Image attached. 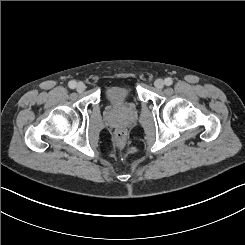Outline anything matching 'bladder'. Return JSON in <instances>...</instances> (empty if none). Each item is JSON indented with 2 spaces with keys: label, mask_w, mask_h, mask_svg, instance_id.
I'll return each instance as SVG.
<instances>
[{
  "label": "bladder",
  "mask_w": 245,
  "mask_h": 245,
  "mask_svg": "<svg viewBox=\"0 0 245 245\" xmlns=\"http://www.w3.org/2000/svg\"><path fill=\"white\" fill-rule=\"evenodd\" d=\"M130 89L131 88L128 85H111V86L106 87L105 92H106L107 97L109 98L112 95L117 96L122 93H127L129 92Z\"/></svg>",
  "instance_id": "bladder-1"
}]
</instances>
